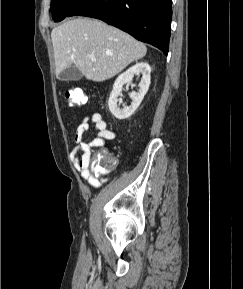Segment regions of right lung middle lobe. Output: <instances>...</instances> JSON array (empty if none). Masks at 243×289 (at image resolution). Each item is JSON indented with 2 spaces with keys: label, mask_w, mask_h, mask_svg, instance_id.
Listing matches in <instances>:
<instances>
[{
  "label": "right lung middle lobe",
  "mask_w": 243,
  "mask_h": 289,
  "mask_svg": "<svg viewBox=\"0 0 243 289\" xmlns=\"http://www.w3.org/2000/svg\"><path fill=\"white\" fill-rule=\"evenodd\" d=\"M50 11L55 22L70 17L73 11L78 8L85 0H51Z\"/></svg>",
  "instance_id": "obj_1"
}]
</instances>
